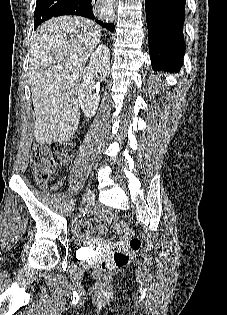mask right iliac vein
I'll return each mask as SVG.
<instances>
[{
  "label": "right iliac vein",
  "instance_id": "right-iliac-vein-1",
  "mask_svg": "<svg viewBox=\"0 0 227 315\" xmlns=\"http://www.w3.org/2000/svg\"><path fill=\"white\" fill-rule=\"evenodd\" d=\"M91 196H92V192L89 191V192L87 193V197L89 198V197H91Z\"/></svg>",
  "mask_w": 227,
  "mask_h": 315
}]
</instances>
